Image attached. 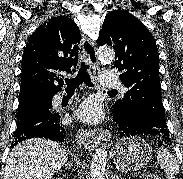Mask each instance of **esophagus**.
Wrapping results in <instances>:
<instances>
[{
    "instance_id": "34e87169",
    "label": "esophagus",
    "mask_w": 183,
    "mask_h": 179,
    "mask_svg": "<svg viewBox=\"0 0 183 179\" xmlns=\"http://www.w3.org/2000/svg\"><path fill=\"white\" fill-rule=\"evenodd\" d=\"M82 52L92 66H98L99 61L94 42L86 35L82 36ZM77 142L86 149H94L100 140H108L111 134L102 129L90 130L81 128L77 133Z\"/></svg>"
}]
</instances>
